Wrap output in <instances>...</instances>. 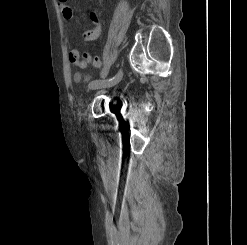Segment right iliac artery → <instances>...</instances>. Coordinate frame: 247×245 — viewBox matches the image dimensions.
Listing matches in <instances>:
<instances>
[{"instance_id":"82829eb1","label":"right iliac artery","mask_w":247,"mask_h":245,"mask_svg":"<svg viewBox=\"0 0 247 245\" xmlns=\"http://www.w3.org/2000/svg\"><path fill=\"white\" fill-rule=\"evenodd\" d=\"M111 63H112V60L108 59L107 62H105L104 67L101 69L102 73L99 79L101 82L107 81L108 79L107 76L109 75V68H110ZM99 80H94L93 82H91V86L98 87L100 83Z\"/></svg>"}]
</instances>
